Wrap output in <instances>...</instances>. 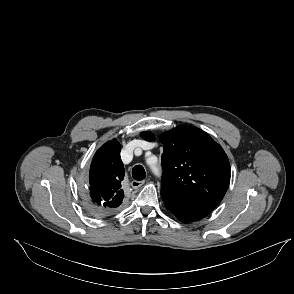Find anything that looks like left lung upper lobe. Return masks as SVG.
<instances>
[{"instance_id":"obj_1","label":"left lung upper lobe","mask_w":294,"mask_h":294,"mask_svg":"<svg viewBox=\"0 0 294 294\" xmlns=\"http://www.w3.org/2000/svg\"><path fill=\"white\" fill-rule=\"evenodd\" d=\"M152 140L150 132L141 133ZM163 143L162 190L165 206L183 222L207 216L223 199L230 164L222 147L203 130L181 125L160 138Z\"/></svg>"}]
</instances>
